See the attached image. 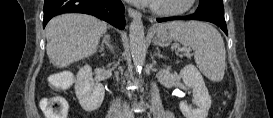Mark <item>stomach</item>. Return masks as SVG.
Segmentation results:
<instances>
[{
  "mask_svg": "<svg viewBox=\"0 0 273 118\" xmlns=\"http://www.w3.org/2000/svg\"><path fill=\"white\" fill-rule=\"evenodd\" d=\"M172 36L169 33L157 34L155 42L159 46H167L172 41Z\"/></svg>",
  "mask_w": 273,
  "mask_h": 118,
  "instance_id": "obj_1",
  "label": "stomach"
}]
</instances>
